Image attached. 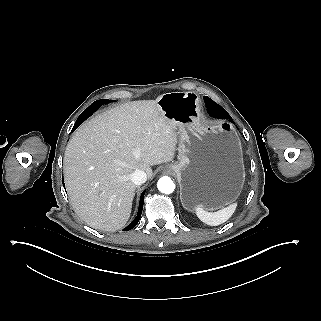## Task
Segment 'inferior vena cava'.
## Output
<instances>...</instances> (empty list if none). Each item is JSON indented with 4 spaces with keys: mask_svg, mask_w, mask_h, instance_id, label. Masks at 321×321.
Returning <instances> with one entry per match:
<instances>
[{
    "mask_svg": "<svg viewBox=\"0 0 321 321\" xmlns=\"http://www.w3.org/2000/svg\"><path fill=\"white\" fill-rule=\"evenodd\" d=\"M131 180L135 185H141L146 182L147 175L142 170H135L131 175Z\"/></svg>",
    "mask_w": 321,
    "mask_h": 321,
    "instance_id": "602c4592",
    "label": "inferior vena cava"
}]
</instances>
